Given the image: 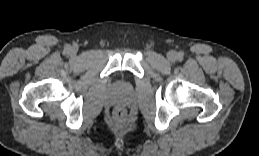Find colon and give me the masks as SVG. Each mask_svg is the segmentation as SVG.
<instances>
[{
  "instance_id": "colon-1",
  "label": "colon",
  "mask_w": 259,
  "mask_h": 156,
  "mask_svg": "<svg viewBox=\"0 0 259 156\" xmlns=\"http://www.w3.org/2000/svg\"><path fill=\"white\" fill-rule=\"evenodd\" d=\"M114 118L118 126H123L126 121V113L123 109L118 108L115 110Z\"/></svg>"
}]
</instances>
